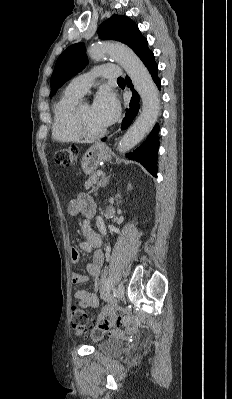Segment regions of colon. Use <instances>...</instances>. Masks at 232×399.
<instances>
[{"mask_svg":"<svg viewBox=\"0 0 232 399\" xmlns=\"http://www.w3.org/2000/svg\"><path fill=\"white\" fill-rule=\"evenodd\" d=\"M76 165V159L73 157V146H68V149L61 150V153H56V166ZM102 322L96 325L95 322H88L86 317V310L75 308V311L71 313V335H76L77 330H81V335H86V330L94 341H99V335H114V328H106L105 324H127L128 330H134V318L129 317L128 308H117L116 313H102ZM94 330V331H93Z\"/></svg>","mask_w":232,"mask_h":399,"instance_id":"obj_1","label":"colon"}]
</instances>
